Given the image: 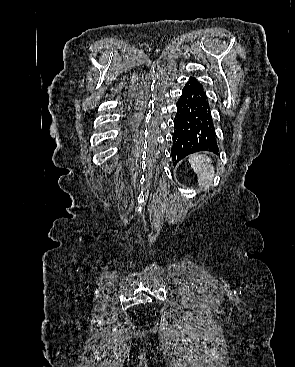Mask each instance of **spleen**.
Here are the masks:
<instances>
[{"instance_id": "1", "label": "spleen", "mask_w": 295, "mask_h": 367, "mask_svg": "<svg viewBox=\"0 0 295 367\" xmlns=\"http://www.w3.org/2000/svg\"><path fill=\"white\" fill-rule=\"evenodd\" d=\"M189 163L197 174L200 187H209L215 175L211 159L205 154L196 153L189 157Z\"/></svg>"}]
</instances>
